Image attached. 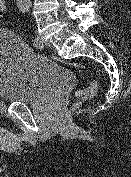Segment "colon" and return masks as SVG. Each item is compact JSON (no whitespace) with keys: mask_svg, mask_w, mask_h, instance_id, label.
<instances>
[{"mask_svg":"<svg viewBox=\"0 0 131 177\" xmlns=\"http://www.w3.org/2000/svg\"><path fill=\"white\" fill-rule=\"evenodd\" d=\"M6 8V0H0V17H2ZM98 84L97 81L92 79L88 86L80 88L75 92V98L78 102L90 99L93 97L97 91Z\"/></svg>","mask_w":131,"mask_h":177,"instance_id":"colon-1","label":"colon"}]
</instances>
